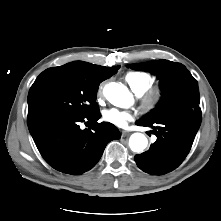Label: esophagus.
Returning a JSON list of instances; mask_svg holds the SVG:
<instances>
[{"label":"esophagus","instance_id":"obj_1","mask_svg":"<svg viewBox=\"0 0 221 221\" xmlns=\"http://www.w3.org/2000/svg\"><path fill=\"white\" fill-rule=\"evenodd\" d=\"M130 133L128 131H122V137L129 135Z\"/></svg>","mask_w":221,"mask_h":221}]
</instances>
